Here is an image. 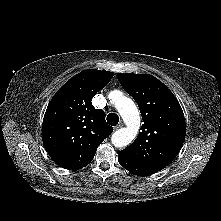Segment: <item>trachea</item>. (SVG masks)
Masks as SVG:
<instances>
[{
    "instance_id": "trachea-1",
    "label": "trachea",
    "mask_w": 221,
    "mask_h": 221,
    "mask_svg": "<svg viewBox=\"0 0 221 221\" xmlns=\"http://www.w3.org/2000/svg\"><path fill=\"white\" fill-rule=\"evenodd\" d=\"M107 122L111 126H116L119 122V116L115 113H110L107 115Z\"/></svg>"
}]
</instances>
